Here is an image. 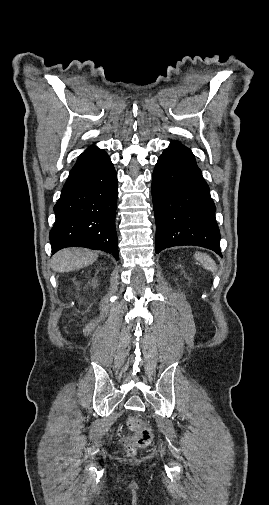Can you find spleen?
I'll return each instance as SVG.
<instances>
[{"label":"spleen","mask_w":269,"mask_h":505,"mask_svg":"<svg viewBox=\"0 0 269 505\" xmlns=\"http://www.w3.org/2000/svg\"><path fill=\"white\" fill-rule=\"evenodd\" d=\"M195 259L200 262V264L206 269L211 272H216L217 271V266L215 261L207 254L201 253V252H196L195 253Z\"/></svg>","instance_id":"spleen-1"}]
</instances>
